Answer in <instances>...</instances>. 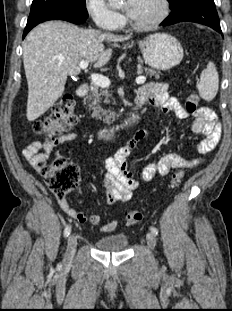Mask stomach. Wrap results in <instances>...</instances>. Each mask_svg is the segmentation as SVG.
Returning a JSON list of instances; mask_svg holds the SVG:
<instances>
[{
	"mask_svg": "<svg viewBox=\"0 0 232 311\" xmlns=\"http://www.w3.org/2000/svg\"><path fill=\"white\" fill-rule=\"evenodd\" d=\"M143 59L157 70H169L183 59L184 50L180 42L170 34L155 33L138 42Z\"/></svg>",
	"mask_w": 232,
	"mask_h": 311,
	"instance_id": "0dacf381",
	"label": "stomach"
}]
</instances>
